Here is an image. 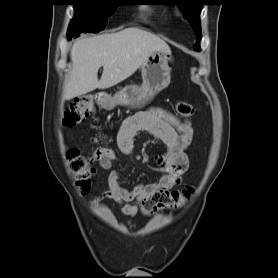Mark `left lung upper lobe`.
<instances>
[{
  "label": "left lung upper lobe",
  "instance_id": "5c2ea615",
  "mask_svg": "<svg viewBox=\"0 0 278 278\" xmlns=\"http://www.w3.org/2000/svg\"><path fill=\"white\" fill-rule=\"evenodd\" d=\"M171 2H175V4L180 7L185 18H187L191 24L195 35L200 39L201 29L199 16L203 6L201 0H171ZM199 44L200 42L196 41L194 45L195 50H199Z\"/></svg>",
  "mask_w": 278,
  "mask_h": 278
}]
</instances>
